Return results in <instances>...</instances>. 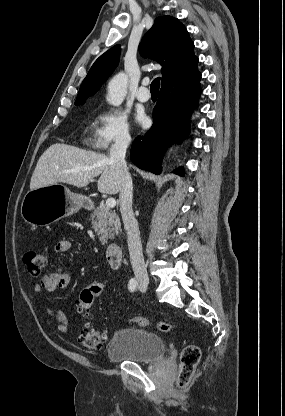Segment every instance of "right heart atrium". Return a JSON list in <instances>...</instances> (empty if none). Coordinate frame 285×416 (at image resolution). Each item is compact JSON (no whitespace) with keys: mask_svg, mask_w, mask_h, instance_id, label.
Listing matches in <instances>:
<instances>
[{"mask_svg":"<svg viewBox=\"0 0 285 416\" xmlns=\"http://www.w3.org/2000/svg\"><path fill=\"white\" fill-rule=\"evenodd\" d=\"M129 139L126 118L117 110L103 108L98 111L87 135V144L97 151H105L112 145H121Z\"/></svg>","mask_w":285,"mask_h":416,"instance_id":"d8ad5b80","label":"right heart atrium"}]
</instances>
